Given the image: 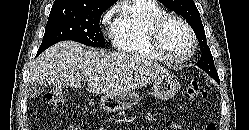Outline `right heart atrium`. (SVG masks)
Returning <instances> with one entry per match:
<instances>
[{
    "mask_svg": "<svg viewBox=\"0 0 249 130\" xmlns=\"http://www.w3.org/2000/svg\"><path fill=\"white\" fill-rule=\"evenodd\" d=\"M114 12H115L114 7L107 10L101 18V23L102 24L107 23L110 20V18L113 16Z\"/></svg>",
    "mask_w": 249,
    "mask_h": 130,
    "instance_id": "obj_1",
    "label": "right heart atrium"
}]
</instances>
